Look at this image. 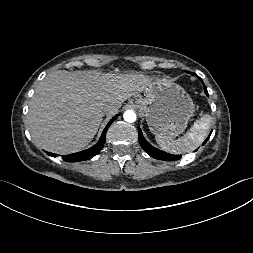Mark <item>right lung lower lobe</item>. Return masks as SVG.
Returning <instances> with one entry per match:
<instances>
[{
  "instance_id": "right-lung-lower-lobe-1",
  "label": "right lung lower lobe",
  "mask_w": 253,
  "mask_h": 253,
  "mask_svg": "<svg viewBox=\"0 0 253 253\" xmlns=\"http://www.w3.org/2000/svg\"><path fill=\"white\" fill-rule=\"evenodd\" d=\"M117 118V116H115L114 118H112L109 123L107 124V126L105 127V129L103 130V133L101 135L100 140L98 141L97 144H95L93 147L86 149L84 151L78 152V153H74V154H70V155H64L62 156L63 159L67 162H79V161H85L88 159H91L92 157H94L95 155H97L102 148L104 147V143H105V136H106V131L108 130L110 124ZM50 156L55 157L56 154L53 153H49L47 152Z\"/></svg>"
}]
</instances>
